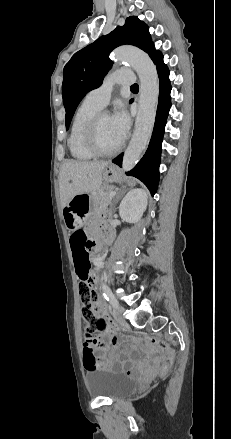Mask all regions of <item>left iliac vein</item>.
<instances>
[{
	"label": "left iliac vein",
	"mask_w": 231,
	"mask_h": 439,
	"mask_svg": "<svg viewBox=\"0 0 231 439\" xmlns=\"http://www.w3.org/2000/svg\"><path fill=\"white\" fill-rule=\"evenodd\" d=\"M124 312V307L122 306H113L112 314L116 321H118L121 325H124L126 322L122 313Z\"/></svg>",
	"instance_id": "4c4485c4"
}]
</instances>
